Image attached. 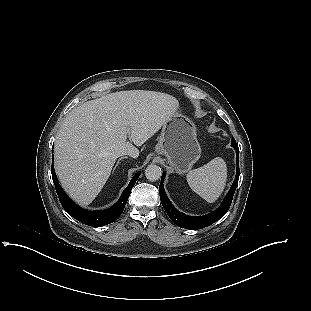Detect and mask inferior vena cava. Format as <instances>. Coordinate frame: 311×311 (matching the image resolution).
Wrapping results in <instances>:
<instances>
[{
	"label": "inferior vena cava",
	"instance_id": "1",
	"mask_svg": "<svg viewBox=\"0 0 311 311\" xmlns=\"http://www.w3.org/2000/svg\"><path fill=\"white\" fill-rule=\"evenodd\" d=\"M138 147L137 146H130L128 149H127V156L128 157H131V158H135V156L138 154Z\"/></svg>",
	"mask_w": 311,
	"mask_h": 311
}]
</instances>
